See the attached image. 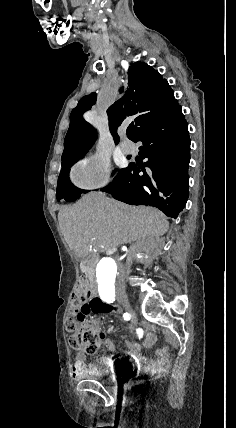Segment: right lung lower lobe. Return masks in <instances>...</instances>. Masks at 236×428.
I'll list each match as a JSON object with an SVG mask.
<instances>
[{
    "mask_svg": "<svg viewBox=\"0 0 236 428\" xmlns=\"http://www.w3.org/2000/svg\"><path fill=\"white\" fill-rule=\"evenodd\" d=\"M131 140L143 142L139 153L149 159L147 169L130 164L101 190L119 201L154 206L177 218L189 196L190 138L181 106L147 123Z\"/></svg>",
    "mask_w": 236,
    "mask_h": 428,
    "instance_id": "1",
    "label": "right lung lower lobe"
}]
</instances>
